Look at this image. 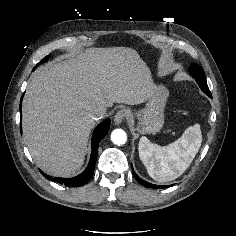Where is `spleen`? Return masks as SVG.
<instances>
[{"label":"spleen","instance_id":"1","mask_svg":"<svg viewBox=\"0 0 236 236\" xmlns=\"http://www.w3.org/2000/svg\"><path fill=\"white\" fill-rule=\"evenodd\" d=\"M202 142L200 125L188 127L175 142L160 146L143 136L139 141V157L148 174L158 182L172 181L190 166Z\"/></svg>","mask_w":236,"mask_h":236}]
</instances>
